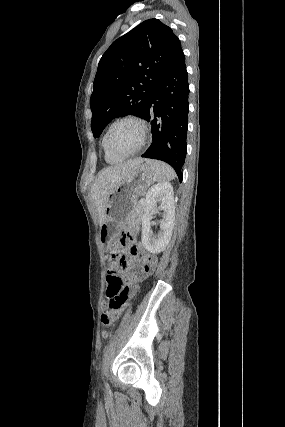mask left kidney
Here are the masks:
<instances>
[{"label":"left kidney","mask_w":285,"mask_h":427,"mask_svg":"<svg viewBox=\"0 0 285 427\" xmlns=\"http://www.w3.org/2000/svg\"><path fill=\"white\" fill-rule=\"evenodd\" d=\"M161 201L159 210L163 211L160 221V232L153 236L151 231L150 212L155 208L157 201ZM174 192L171 184L167 182L152 186L144 201V214L142 217V244L144 248L153 254L162 252L168 245L175 220Z\"/></svg>","instance_id":"obj_1"}]
</instances>
